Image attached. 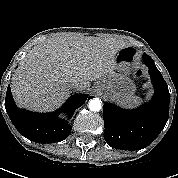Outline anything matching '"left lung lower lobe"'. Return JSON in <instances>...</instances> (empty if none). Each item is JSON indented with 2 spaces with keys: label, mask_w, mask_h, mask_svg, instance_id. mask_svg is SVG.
I'll return each instance as SVG.
<instances>
[{
  "label": "left lung lower lobe",
  "mask_w": 178,
  "mask_h": 178,
  "mask_svg": "<svg viewBox=\"0 0 178 178\" xmlns=\"http://www.w3.org/2000/svg\"><path fill=\"white\" fill-rule=\"evenodd\" d=\"M142 59L149 67L155 93L151 101L137 109L124 110L114 104L103 106L104 138L108 145L121 150H140L160 134L169 117V90L152 58L146 53Z\"/></svg>",
  "instance_id": "left-lung-lower-lobe-1"
}]
</instances>
